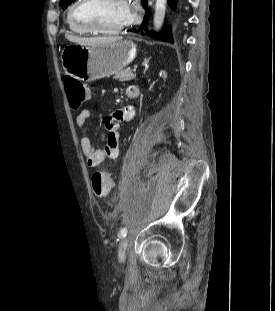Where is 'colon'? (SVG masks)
<instances>
[{
    "mask_svg": "<svg viewBox=\"0 0 275 311\" xmlns=\"http://www.w3.org/2000/svg\"><path fill=\"white\" fill-rule=\"evenodd\" d=\"M64 85L69 105L73 109L79 108L91 97L90 87L72 77H65ZM91 184L94 194L99 198L107 196L112 189L110 175L100 169L93 171L91 175Z\"/></svg>",
    "mask_w": 275,
    "mask_h": 311,
    "instance_id": "1",
    "label": "colon"
}]
</instances>
